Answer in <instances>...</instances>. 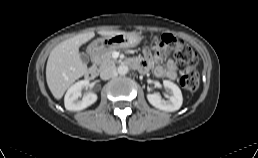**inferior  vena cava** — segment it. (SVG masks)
Masks as SVG:
<instances>
[{
    "label": "inferior vena cava",
    "mask_w": 258,
    "mask_h": 158,
    "mask_svg": "<svg viewBox=\"0 0 258 158\" xmlns=\"http://www.w3.org/2000/svg\"><path fill=\"white\" fill-rule=\"evenodd\" d=\"M117 73L115 66H106L100 72V77L103 80H108Z\"/></svg>",
    "instance_id": "inferior-vena-cava-1"
}]
</instances>
